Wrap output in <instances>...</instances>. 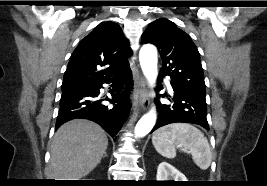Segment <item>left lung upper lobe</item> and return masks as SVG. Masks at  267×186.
I'll list each match as a JSON object with an SVG mask.
<instances>
[{"instance_id": "left-lung-upper-lobe-1", "label": "left lung upper lobe", "mask_w": 267, "mask_h": 186, "mask_svg": "<svg viewBox=\"0 0 267 186\" xmlns=\"http://www.w3.org/2000/svg\"><path fill=\"white\" fill-rule=\"evenodd\" d=\"M142 42L154 44L163 67L160 74L170 76L171 83L205 95V82L200 54L191 38L173 22L160 18L149 24Z\"/></svg>"}]
</instances>
